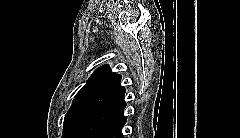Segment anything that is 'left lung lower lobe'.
<instances>
[{
	"mask_svg": "<svg viewBox=\"0 0 240 138\" xmlns=\"http://www.w3.org/2000/svg\"><path fill=\"white\" fill-rule=\"evenodd\" d=\"M125 88L120 86L112 98L97 112L78 138H124L126 123L123 111Z\"/></svg>",
	"mask_w": 240,
	"mask_h": 138,
	"instance_id": "1",
	"label": "left lung lower lobe"
}]
</instances>
